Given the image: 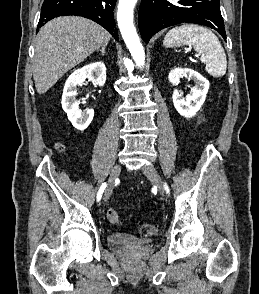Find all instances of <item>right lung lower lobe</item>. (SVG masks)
<instances>
[{
  "label": "right lung lower lobe",
  "instance_id": "1",
  "mask_svg": "<svg viewBox=\"0 0 259 294\" xmlns=\"http://www.w3.org/2000/svg\"><path fill=\"white\" fill-rule=\"evenodd\" d=\"M117 0H44L38 29L58 16L76 15L91 19L103 26L116 40L118 30L114 23L113 9Z\"/></svg>",
  "mask_w": 259,
  "mask_h": 294
}]
</instances>
